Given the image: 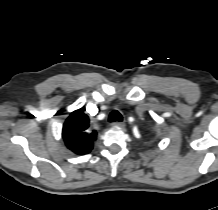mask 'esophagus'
<instances>
[{"mask_svg":"<svg viewBox=\"0 0 218 210\" xmlns=\"http://www.w3.org/2000/svg\"><path fill=\"white\" fill-rule=\"evenodd\" d=\"M114 125L118 126L120 128H124L125 127V123L124 122H115Z\"/></svg>","mask_w":218,"mask_h":210,"instance_id":"obj_1","label":"esophagus"}]
</instances>
